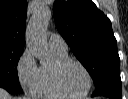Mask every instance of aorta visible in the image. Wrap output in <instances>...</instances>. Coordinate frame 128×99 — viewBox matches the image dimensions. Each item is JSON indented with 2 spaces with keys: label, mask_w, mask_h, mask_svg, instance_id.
I'll return each mask as SVG.
<instances>
[{
  "label": "aorta",
  "mask_w": 128,
  "mask_h": 99,
  "mask_svg": "<svg viewBox=\"0 0 128 99\" xmlns=\"http://www.w3.org/2000/svg\"><path fill=\"white\" fill-rule=\"evenodd\" d=\"M50 18L51 12L48 8L38 9L27 27L26 45L34 52L41 64H45L49 60L45 29Z\"/></svg>",
  "instance_id": "1"
}]
</instances>
